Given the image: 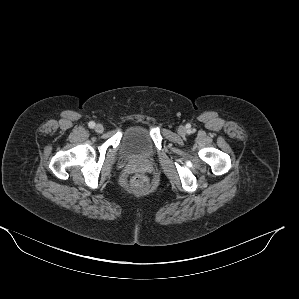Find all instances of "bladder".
<instances>
[{
  "mask_svg": "<svg viewBox=\"0 0 299 299\" xmlns=\"http://www.w3.org/2000/svg\"><path fill=\"white\" fill-rule=\"evenodd\" d=\"M155 151L149 132L141 125H135L124 135L119 145L122 157L150 158Z\"/></svg>",
  "mask_w": 299,
  "mask_h": 299,
  "instance_id": "1",
  "label": "bladder"
}]
</instances>
